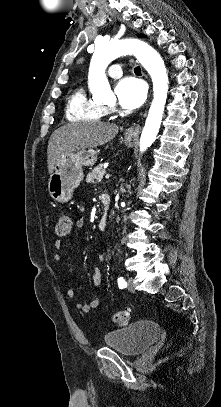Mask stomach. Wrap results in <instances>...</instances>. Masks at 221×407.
Returning a JSON list of instances; mask_svg holds the SVG:
<instances>
[{"instance_id":"1","label":"stomach","mask_w":221,"mask_h":407,"mask_svg":"<svg viewBox=\"0 0 221 407\" xmlns=\"http://www.w3.org/2000/svg\"><path fill=\"white\" fill-rule=\"evenodd\" d=\"M135 135L125 134V143L131 145ZM99 151L93 148L82 149L61 157L50 174L48 192L54 201L68 202L74 190L83 180V166H93Z\"/></svg>"}]
</instances>
